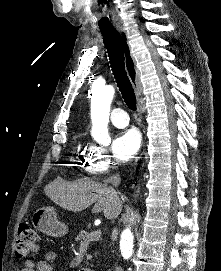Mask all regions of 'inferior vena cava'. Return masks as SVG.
Instances as JSON below:
<instances>
[{
  "label": "inferior vena cava",
  "instance_id": "inferior-vena-cava-1",
  "mask_svg": "<svg viewBox=\"0 0 221 271\" xmlns=\"http://www.w3.org/2000/svg\"><path fill=\"white\" fill-rule=\"evenodd\" d=\"M105 181L106 183H112V185H108V187H106V197H118L115 187L116 185H119L121 177L111 175V177H108V179H105ZM114 231L116 233L117 227H114ZM115 271H123V267H121V265H116Z\"/></svg>",
  "mask_w": 221,
  "mask_h": 271
}]
</instances>
